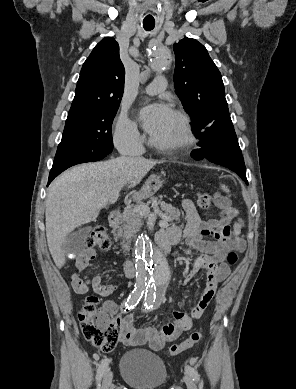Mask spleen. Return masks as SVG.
Masks as SVG:
<instances>
[{"label": "spleen", "mask_w": 296, "mask_h": 389, "mask_svg": "<svg viewBox=\"0 0 296 389\" xmlns=\"http://www.w3.org/2000/svg\"><path fill=\"white\" fill-rule=\"evenodd\" d=\"M221 188H222L224 191L229 192V189H228L227 186L221 185ZM234 234H235L236 236H238V235L240 234V227H239L238 224H234ZM236 239L238 240V237H236Z\"/></svg>", "instance_id": "spleen-1"}]
</instances>
